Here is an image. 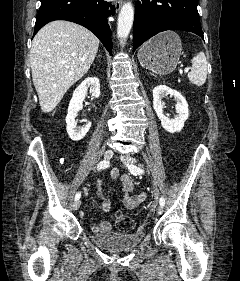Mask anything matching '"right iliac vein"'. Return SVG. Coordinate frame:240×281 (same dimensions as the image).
<instances>
[{
	"label": "right iliac vein",
	"mask_w": 240,
	"mask_h": 281,
	"mask_svg": "<svg viewBox=\"0 0 240 281\" xmlns=\"http://www.w3.org/2000/svg\"><path fill=\"white\" fill-rule=\"evenodd\" d=\"M113 155H114V152H113L112 150H107V151H105V153H104V159H105V160H109V159H111V158L113 157ZM80 205H81V201H80V200H76V201L74 202V204H73V209H74L75 211L78 210L79 207H80Z\"/></svg>",
	"instance_id": "obj_1"
}]
</instances>
